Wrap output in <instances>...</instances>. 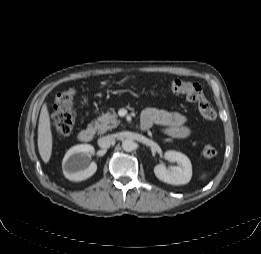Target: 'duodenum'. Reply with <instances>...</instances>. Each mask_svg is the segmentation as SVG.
Masks as SVG:
<instances>
[{
    "instance_id": "obj_1",
    "label": "duodenum",
    "mask_w": 261,
    "mask_h": 254,
    "mask_svg": "<svg viewBox=\"0 0 261 254\" xmlns=\"http://www.w3.org/2000/svg\"><path fill=\"white\" fill-rule=\"evenodd\" d=\"M141 128H142V126H141ZM143 130H145V129H143ZM94 135H95V129L93 127H90V128L80 131L78 138L80 141H82L84 143H88V142L92 141V139L94 138Z\"/></svg>"
}]
</instances>
